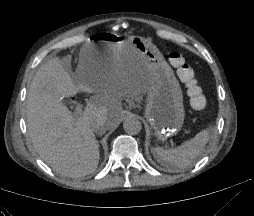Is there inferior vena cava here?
<instances>
[{
	"label": "inferior vena cava",
	"instance_id": "602c4592",
	"mask_svg": "<svg viewBox=\"0 0 254 216\" xmlns=\"http://www.w3.org/2000/svg\"><path fill=\"white\" fill-rule=\"evenodd\" d=\"M92 129L94 132L102 133L105 132L108 128L106 119L99 118L95 122L92 123Z\"/></svg>",
	"mask_w": 254,
	"mask_h": 216
}]
</instances>
